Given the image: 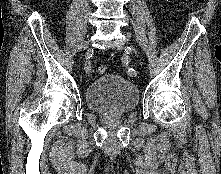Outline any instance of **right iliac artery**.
Listing matches in <instances>:
<instances>
[{
    "mask_svg": "<svg viewBox=\"0 0 221 174\" xmlns=\"http://www.w3.org/2000/svg\"><path fill=\"white\" fill-rule=\"evenodd\" d=\"M85 70H86V73H87V74H89V73L91 72V70H92L91 64H90L89 61H86V62H85Z\"/></svg>",
    "mask_w": 221,
    "mask_h": 174,
    "instance_id": "82829eb1",
    "label": "right iliac artery"
}]
</instances>
